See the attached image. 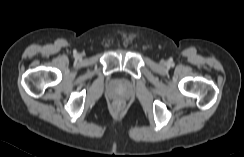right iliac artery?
Wrapping results in <instances>:
<instances>
[{"mask_svg": "<svg viewBox=\"0 0 244 157\" xmlns=\"http://www.w3.org/2000/svg\"><path fill=\"white\" fill-rule=\"evenodd\" d=\"M73 54H74V56H76L77 55V51L75 50V51H73Z\"/></svg>", "mask_w": 244, "mask_h": 157, "instance_id": "82829eb1", "label": "right iliac artery"}]
</instances>
